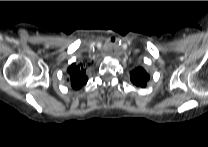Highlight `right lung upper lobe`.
Returning <instances> with one entry per match:
<instances>
[{"mask_svg": "<svg viewBox=\"0 0 208 147\" xmlns=\"http://www.w3.org/2000/svg\"><path fill=\"white\" fill-rule=\"evenodd\" d=\"M67 72L70 75L69 80L73 89H80L84 84H86L88 78L85 75V64L76 65L75 63H73L71 66H69Z\"/></svg>", "mask_w": 208, "mask_h": 147, "instance_id": "obj_1", "label": "right lung upper lobe"}]
</instances>
